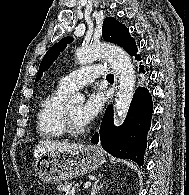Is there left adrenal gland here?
Masks as SVG:
<instances>
[{"label": "left adrenal gland", "mask_w": 189, "mask_h": 195, "mask_svg": "<svg viewBox=\"0 0 189 195\" xmlns=\"http://www.w3.org/2000/svg\"><path fill=\"white\" fill-rule=\"evenodd\" d=\"M102 177H103V175H100L99 178L97 180H95L94 184L92 185L91 195H96L97 192L100 190V188H102L104 183L98 185V183Z\"/></svg>", "instance_id": "left-adrenal-gland-1"}]
</instances>
